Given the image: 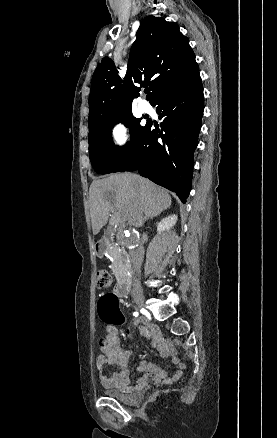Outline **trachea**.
Returning a JSON list of instances; mask_svg holds the SVG:
<instances>
[{
  "label": "trachea",
  "instance_id": "trachea-1",
  "mask_svg": "<svg viewBox=\"0 0 277 438\" xmlns=\"http://www.w3.org/2000/svg\"><path fill=\"white\" fill-rule=\"evenodd\" d=\"M150 92V90H144V93H149Z\"/></svg>",
  "mask_w": 277,
  "mask_h": 438
}]
</instances>
